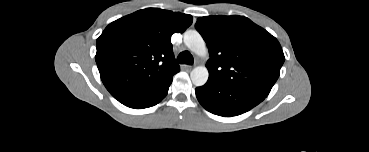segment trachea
Segmentation results:
<instances>
[{"instance_id":"3493384b","label":"trachea","mask_w":369,"mask_h":152,"mask_svg":"<svg viewBox=\"0 0 369 152\" xmlns=\"http://www.w3.org/2000/svg\"><path fill=\"white\" fill-rule=\"evenodd\" d=\"M177 62L179 64H188V65H192L193 62H194V58L193 56L191 55L190 52L188 51H184V52H181L178 57H177Z\"/></svg>"}]
</instances>
